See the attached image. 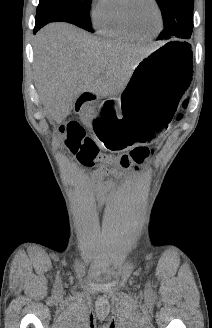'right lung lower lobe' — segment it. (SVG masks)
<instances>
[{
    "instance_id": "1",
    "label": "right lung lower lobe",
    "mask_w": 212,
    "mask_h": 328,
    "mask_svg": "<svg viewBox=\"0 0 212 328\" xmlns=\"http://www.w3.org/2000/svg\"><path fill=\"white\" fill-rule=\"evenodd\" d=\"M44 25H46L44 22H39V21H36L35 23V28H34V34L41 28L43 27Z\"/></svg>"
}]
</instances>
